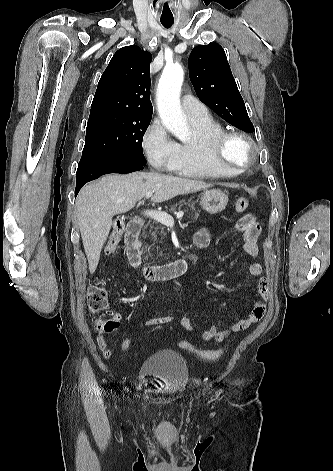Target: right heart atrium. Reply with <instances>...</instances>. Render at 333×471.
Returning a JSON list of instances; mask_svg holds the SVG:
<instances>
[{
    "mask_svg": "<svg viewBox=\"0 0 333 471\" xmlns=\"http://www.w3.org/2000/svg\"><path fill=\"white\" fill-rule=\"evenodd\" d=\"M149 163L157 170H169L175 160L177 143L159 120H154L142 138Z\"/></svg>",
    "mask_w": 333,
    "mask_h": 471,
    "instance_id": "obj_1",
    "label": "right heart atrium"
}]
</instances>
